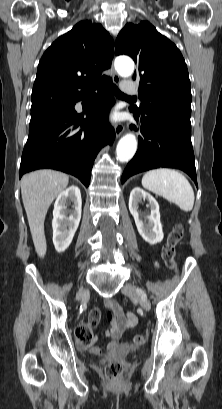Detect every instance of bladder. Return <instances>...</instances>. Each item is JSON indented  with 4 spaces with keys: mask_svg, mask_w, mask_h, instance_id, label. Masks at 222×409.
Returning a JSON list of instances; mask_svg holds the SVG:
<instances>
[{
    "mask_svg": "<svg viewBox=\"0 0 222 409\" xmlns=\"http://www.w3.org/2000/svg\"><path fill=\"white\" fill-rule=\"evenodd\" d=\"M141 350L140 349H138V348H129V349H127V353L128 354H132V353H138V352H140Z\"/></svg>",
    "mask_w": 222,
    "mask_h": 409,
    "instance_id": "31cf9c89",
    "label": "bladder"
}]
</instances>
